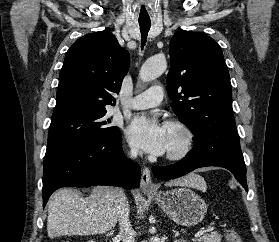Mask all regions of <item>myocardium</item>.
<instances>
[{
	"instance_id": "myocardium-1",
	"label": "myocardium",
	"mask_w": 279,
	"mask_h": 242,
	"mask_svg": "<svg viewBox=\"0 0 279 242\" xmlns=\"http://www.w3.org/2000/svg\"><path fill=\"white\" fill-rule=\"evenodd\" d=\"M167 127L177 130L181 135L180 147L174 151L167 152L166 159L169 161H180L189 155L194 145V133L192 129L181 120H170L166 122Z\"/></svg>"
}]
</instances>
